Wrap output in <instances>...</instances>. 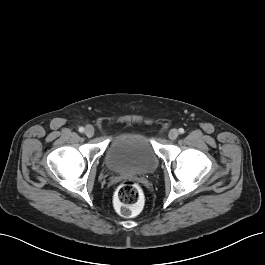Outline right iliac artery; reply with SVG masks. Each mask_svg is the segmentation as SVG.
<instances>
[{
	"label": "right iliac artery",
	"instance_id": "82829eb1",
	"mask_svg": "<svg viewBox=\"0 0 265 265\" xmlns=\"http://www.w3.org/2000/svg\"><path fill=\"white\" fill-rule=\"evenodd\" d=\"M79 132H81V133L84 132V128L83 127H80L79 128Z\"/></svg>",
	"mask_w": 265,
	"mask_h": 265
}]
</instances>
